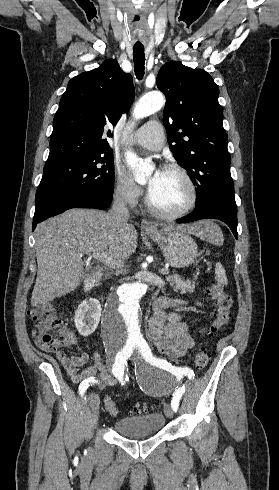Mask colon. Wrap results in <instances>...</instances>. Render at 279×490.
<instances>
[{
	"mask_svg": "<svg viewBox=\"0 0 279 490\" xmlns=\"http://www.w3.org/2000/svg\"><path fill=\"white\" fill-rule=\"evenodd\" d=\"M208 295L215 300L217 313L211 325L209 336L214 335L219 329L228 325L232 311V300L224 291L223 286L219 283H211L207 288ZM30 317L37 323L36 332L39 339L38 347L40 349L56 351L58 349H68V342L73 341V330L63 327L58 319L54 309L50 305L35 306L29 311ZM209 361V355L204 345L196 352L194 357L195 366L198 369L206 367ZM104 409L109 414L115 416L118 414V408L111 398H106ZM152 406L144 403L141 407L137 406L133 412L136 414L149 412Z\"/></svg>",
	"mask_w": 279,
	"mask_h": 490,
	"instance_id": "obj_1",
	"label": "colon"
}]
</instances>
